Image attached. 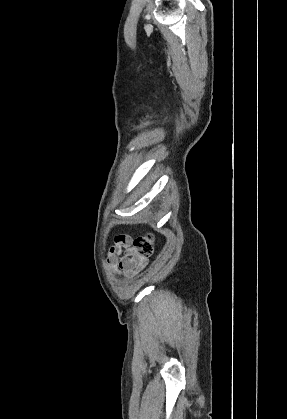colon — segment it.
<instances>
[{
	"label": "colon",
	"instance_id": "1",
	"mask_svg": "<svg viewBox=\"0 0 287 419\" xmlns=\"http://www.w3.org/2000/svg\"><path fill=\"white\" fill-rule=\"evenodd\" d=\"M133 249L140 256H150L154 251L153 241L150 237H137L133 241Z\"/></svg>",
	"mask_w": 287,
	"mask_h": 419
}]
</instances>
